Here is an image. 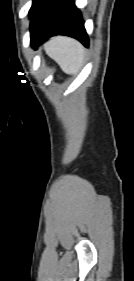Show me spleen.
<instances>
[{
    "instance_id": "3e777b00",
    "label": "spleen",
    "mask_w": 134,
    "mask_h": 281,
    "mask_svg": "<svg viewBox=\"0 0 134 281\" xmlns=\"http://www.w3.org/2000/svg\"><path fill=\"white\" fill-rule=\"evenodd\" d=\"M44 49L47 55L58 63L64 73L76 75L80 71L85 50L74 39L58 36L50 39Z\"/></svg>"
}]
</instances>
